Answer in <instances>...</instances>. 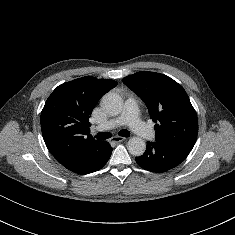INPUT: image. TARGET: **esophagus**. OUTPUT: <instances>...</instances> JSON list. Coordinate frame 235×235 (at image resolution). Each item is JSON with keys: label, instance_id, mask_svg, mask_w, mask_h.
I'll return each mask as SVG.
<instances>
[{"label": "esophagus", "instance_id": "34e87169", "mask_svg": "<svg viewBox=\"0 0 235 235\" xmlns=\"http://www.w3.org/2000/svg\"><path fill=\"white\" fill-rule=\"evenodd\" d=\"M126 138L124 137H120V136H114L110 139V142L112 143H119V142H122L124 141Z\"/></svg>", "mask_w": 235, "mask_h": 235}]
</instances>
